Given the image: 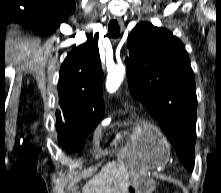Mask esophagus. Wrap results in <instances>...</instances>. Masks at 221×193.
I'll return each mask as SVG.
<instances>
[{
    "label": "esophagus",
    "mask_w": 221,
    "mask_h": 193,
    "mask_svg": "<svg viewBox=\"0 0 221 193\" xmlns=\"http://www.w3.org/2000/svg\"><path fill=\"white\" fill-rule=\"evenodd\" d=\"M120 23H122V19L121 18H116Z\"/></svg>",
    "instance_id": "1"
}]
</instances>
